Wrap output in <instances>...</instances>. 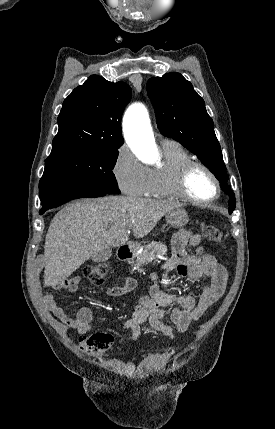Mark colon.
Wrapping results in <instances>:
<instances>
[{
	"label": "colon",
	"mask_w": 275,
	"mask_h": 429,
	"mask_svg": "<svg viewBox=\"0 0 275 429\" xmlns=\"http://www.w3.org/2000/svg\"><path fill=\"white\" fill-rule=\"evenodd\" d=\"M202 235L210 242L220 244L222 241V231L214 224L204 223L201 226ZM109 268L106 264L87 265L83 269V276L93 284H101L107 275ZM113 342L110 334L96 333L91 336H84L79 339V349L91 357L103 355Z\"/></svg>",
	"instance_id": "obj_1"
}]
</instances>
